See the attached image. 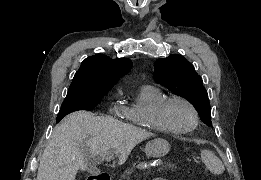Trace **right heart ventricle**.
I'll return each mask as SVG.
<instances>
[{"instance_id": "e07e8e85", "label": "right heart ventricle", "mask_w": 261, "mask_h": 180, "mask_svg": "<svg viewBox=\"0 0 261 180\" xmlns=\"http://www.w3.org/2000/svg\"><path fill=\"white\" fill-rule=\"evenodd\" d=\"M165 99L167 96L161 89L151 85L142 86L133 96L129 105L120 107L122 122H132V127H144V131H152L150 138L183 139L185 135L164 134L153 117L155 109Z\"/></svg>"}]
</instances>
